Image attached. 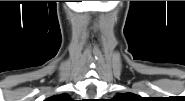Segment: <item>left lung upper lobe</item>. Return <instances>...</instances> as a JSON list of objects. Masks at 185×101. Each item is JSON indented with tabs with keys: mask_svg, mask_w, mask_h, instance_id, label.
<instances>
[{
	"mask_svg": "<svg viewBox=\"0 0 185 101\" xmlns=\"http://www.w3.org/2000/svg\"><path fill=\"white\" fill-rule=\"evenodd\" d=\"M133 96H135L132 93H125V94H118L115 96V98L120 99L119 101H127L128 99H133Z\"/></svg>",
	"mask_w": 185,
	"mask_h": 101,
	"instance_id": "left-lung-upper-lobe-1",
	"label": "left lung upper lobe"
}]
</instances>
